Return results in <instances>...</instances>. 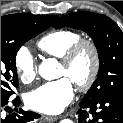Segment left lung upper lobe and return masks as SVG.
Wrapping results in <instances>:
<instances>
[{"label": "left lung upper lobe", "instance_id": "1", "mask_svg": "<svg viewBox=\"0 0 123 123\" xmlns=\"http://www.w3.org/2000/svg\"><path fill=\"white\" fill-rule=\"evenodd\" d=\"M64 26L86 32L98 50V77L83 99L123 93V32L119 26L109 17L92 12L71 13L54 24L56 29Z\"/></svg>", "mask_w": 123, "mask_h": 123}]
</instances>
